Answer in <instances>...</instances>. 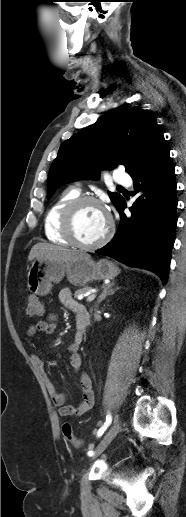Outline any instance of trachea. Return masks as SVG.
<instances>
[{
  "instance_id": "3493384b",
  "label": "trachea",
  "mask_w": 186,
  "mask_h": 517,
  "mask_svg": "<svg viewBox=\"0 0 186 517\" xmlns=\"http://www.w3.org/2000/svg\"><path fill=\"white\" fill-rule=\"evenodd\" d=\"M117 188H123L122 186H117Z\"/></svg>"
}]
</instances>
